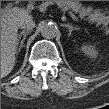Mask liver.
<instances>
[{
    "mask_svg": "<svg viewBox=\"0 0 109 109\" xmlns=\"http://www.w3.org/2000/svg\"><path fill=\"white\" fill-rule=\"evenodd\" d=\"M32 20V16L24 11L1 18V76H7L16 62L17 32L19 23Z\"/></svg>",
    "mask_w": 109,
    "mask_h": 109,
    "instance_id": "liver-1",
    "label": "liver"
}]
</instances>
